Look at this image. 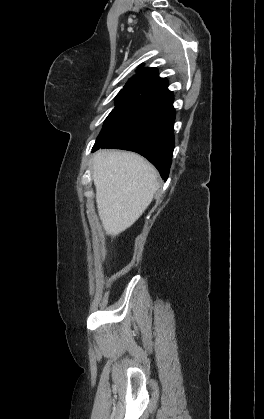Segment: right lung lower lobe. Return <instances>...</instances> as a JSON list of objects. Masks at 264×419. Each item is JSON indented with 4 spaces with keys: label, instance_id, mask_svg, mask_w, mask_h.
<instances>
[{
    "label": "right lung lower lobe",
    "instance_id": "1",
    "mask_svg": "<svg viewBox=\"0 0 264 419\" xmlns=\"http://www.w3.org/2000/svg\"><path fill=\"white\" fill-rule=\"evenodd\" d=\"M173 95L150 98L136 117L120 133L100 148H117L137 152L147 158L164 181L170 171L174 149Z\"/></svg>",
    "mask_w": 264,
    "mask_h": 419
}]
</instances>
